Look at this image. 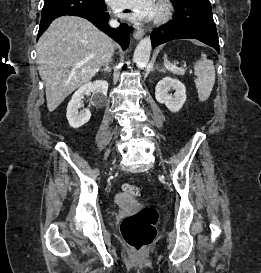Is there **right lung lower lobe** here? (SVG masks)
Masks as SVG:
<instances>
[{
	"label": "right lung lower lobe",
	"mask_w": 261,
	"mask_h": 273,
	"mask_svg": "<svg viewBox=\"0 0 261 273\" xmlns=\"http://www.w3.org/2000/svg\"><path fill=\"white\" fill-rule=\"evenodd\" d=\"M75 15L92 22L97 28L107 33L125 50L129 45V27L121 24L117 29L108 25L109 14L103 0H45L37 38L57 17Z\"/></svg>",
	"instance_id": "right-lung-lower-lobe-1"
}]
</instances>
